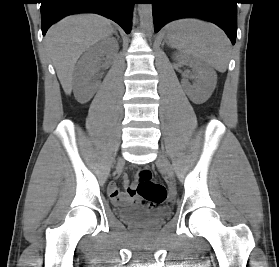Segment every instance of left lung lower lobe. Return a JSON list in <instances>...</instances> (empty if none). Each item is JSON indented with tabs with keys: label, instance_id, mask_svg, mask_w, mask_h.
<instances>
[{
	"label": "left lung lower lobe",
	"instance_id": "0a47b994",
	"mask_svg": "<svg viewBox=\"0 0 279 267\" xmlns=\"http://www.w3.org/2000/svg\"><path fill=\"white\" fill-rule=\"evenodd\" d=\"M150 3H152L155 32L175 19L202 18L221 27L232 44H235L236 0H150Z\"/></svg>",
	"mask_w": 279,
	"mask_h": 267
}]
</instances>
